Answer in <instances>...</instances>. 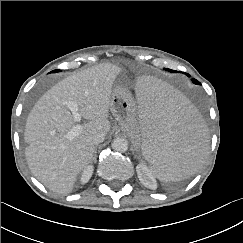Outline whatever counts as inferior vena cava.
Masks as SVG:
<instances>
[{
	"instance_id": "602c4592",
	"label": "inferior vena cava",
	"mask_w": 243,
	"mask_h": 243,
	"mask_svg": "<svg viewBox=\"0 0 243 243\" xmlns=\"http://www.w3.org/2000/svg\"><path fill=\"white\" fill-rule=\"evenodd\" d=\"M104 138H105V135L102 134V133H98V134H95L93 137H92V142L97 145L101 142L104 141Z\"/></svg>"
}]
</instances>
